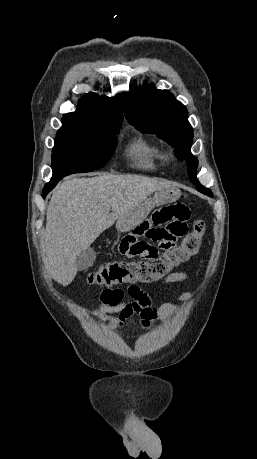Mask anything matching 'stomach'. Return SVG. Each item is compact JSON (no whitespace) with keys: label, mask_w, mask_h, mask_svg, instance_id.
Wrapping results in <instances>:
<instances>
[{"label":"stomach","mask_w":257,"mask_h":459,"mask_svg":"<svg viewBox=\"0 0 257 459\" xmlns=\"http://www.w3.org/2000/svg\"><path fill=\"white\" fill-rule=\"evenodd\" d=\"M180 194V190L173 186L156 191L153 197L145 199L137 207L117 220V231L122 233L128 232V230L134 228V223H141L144 217L149 215L154 205H164L173 202L179 198Z\"/></svg>","instance_id":"obj_1"}]
</instances>
